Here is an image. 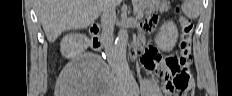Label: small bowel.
I'll return each instance as SVG.
<instances>
[{
	"label": "small bowel",
	"instance_id": "1",
	"mask_svg": "<svg viewBox=\"0 0 232 96\" xmlns=\"http://www.w3.org/2000/svg\"><path fill=\"white\" fill-rule=\"evenodd\" d=\"M145 25H140V30H136L134 33L137 35H147V30L151 27L153 30H149V35H157L156 24L158 20H161V15H158V11H147ZM131 43H150V38H131ZM141 65L147 76H150L153 72H157L160 76L164 77L165 63L162 61L160 52L156 49L149 50L143 53L141 56ZM189 70V82L192 88H194V81L191 74L190 65ZM164 91L165 86L163 87Z\"/></svg>",
	"mask_w": 232,
	"mask_h": 96
}]
</instances>
